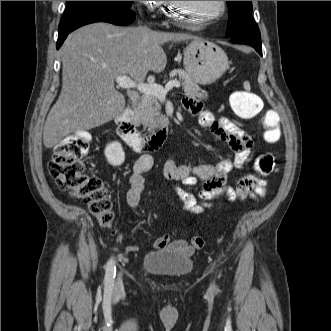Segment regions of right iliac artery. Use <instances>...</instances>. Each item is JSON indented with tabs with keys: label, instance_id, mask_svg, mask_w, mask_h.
I'll return each mask as SVG.
<instances>
[{
	"label": "right iliac artery",
	"instance_id": "obj_1",
	"mask_svg": "<svg viewBox=\"0 0 331 331\" xmlns=\"http://www.w3.org/2000/svg\"><path fill=\"white\" fill-rule=\"evenodd\" d=\"M116 275L115 261L111 258L106 264L105 286L106 289L112 290L114 286V278Z\"/></svg>",
	"mask_w": 331,
	"mask_h": 331
}]
</instances>
